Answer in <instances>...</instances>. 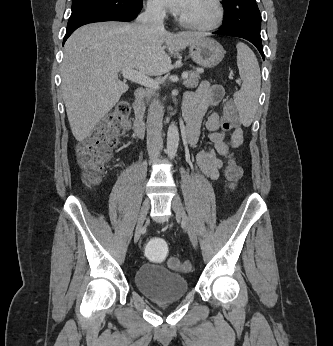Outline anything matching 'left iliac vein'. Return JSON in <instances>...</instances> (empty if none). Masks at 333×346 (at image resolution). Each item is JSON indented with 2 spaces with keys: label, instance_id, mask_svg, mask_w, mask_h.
<instances>
[{
  "label": "left iliac vein",
  "instance_id": "obj_1",
  "mask_svg": "<svg viewBox=\"0 0 333 346\" xmlns=\"http://www.w3.org/2000/svg\"><path fill=\"white\" fill-rule=\"evenodd\" d=\"M171 206H172L173 211L182 218L184 227H185V229L189 235V238H190L193 246L197 247L198 238H197L196 231H195L191 221L189 220V218H188V216L184 210L181 199L178 195H175L173 197V199L171 201Z\"/></svg>",
  "mask_w": 333,
  "mask_h": 346
}]
</instances>
